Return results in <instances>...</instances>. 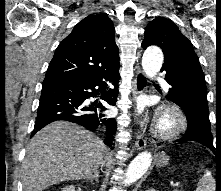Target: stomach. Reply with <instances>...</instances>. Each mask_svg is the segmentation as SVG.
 <instances>
[{"mask_svg":"<svg viewBox=\"0 0 221 191\" xmlns=\"http://www.w3.org/2000/svg\"><path fill=\"white\" fill-rule=\"evenodd\" d=\"M169 157L166 153L161 152L157 155L156 165L158 167H165L168 164Z\"/></svg>","mask_w":221,"mask_h":191,"instance_id":"0dacf381","label":"stomach"}]
</instances>
